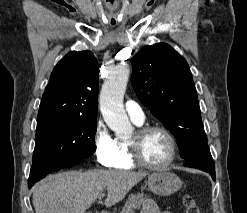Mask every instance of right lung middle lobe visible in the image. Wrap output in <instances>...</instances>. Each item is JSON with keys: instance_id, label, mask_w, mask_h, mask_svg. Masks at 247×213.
Returning <instances> with one entry per match:
<instances>
[{"instance_id": "dd1d6c3e", "label": "right lung middle lobe", "mask_w": 247, "mask_h": 213, "mask_svg": "<svg viewBox=\"0 0 247 213\" xmlns=\"http://www.w3.org/2000/svg\"><path fill=\"white\" fill-rule=\"evenodd\" d=\"M96 119H37L36 145L29 179H42L90 157L95 152Z\"/></svg>"}]
</instances>
